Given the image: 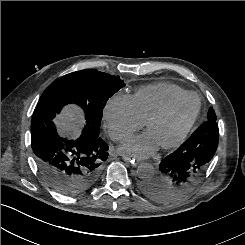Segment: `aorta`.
<instances>
[{
  "mask_svg": "<svg viewBox=\"0 0 245 245\" xmlns=\"http://www.w3.org/2000/svg\"><path fill=\"white\" fill-rule=\"evenodd\" d=\"M137 171L139 177L144 180H150L155 174L154 167L149 163L140 164Z\"/></svg>",
  "mask_w": 245,
  "mask_h": 245,
  "instance_id": "1",
  "label": "aorta"
}]
</instances>
